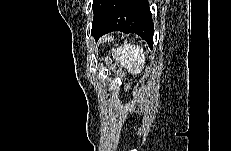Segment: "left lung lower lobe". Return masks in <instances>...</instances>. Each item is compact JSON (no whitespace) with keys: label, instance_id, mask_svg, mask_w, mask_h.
I'll return each instance as SVG.
<instances>
[{"label":"left lung lower lobe","instance_id":"obj_1","mask_svg":"<svg viewBox=\"0 0 231 151\" xmlns=\"http://www.w3.org/2000/svg\"><path fill=\"white\" fill-rule=\"evenodd\" d=\"M111 31L135 33L153 46L154 27L147 0H110L104 13L91 30L96 40Z\"/></svg>","mask_w":231,"mask_h":151}]
</instances>
